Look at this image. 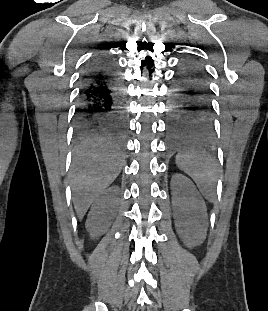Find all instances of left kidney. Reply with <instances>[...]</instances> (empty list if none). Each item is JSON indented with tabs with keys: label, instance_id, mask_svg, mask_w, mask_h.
I'll use <instances>...</instances> for the list:
<instances>
[{
	"label": "left kidney",
	"instance_id": "obj_1",
	"mask_svg": "<svg viewBox=\"0 0 268 311\" xmlns=\"http://www.w3.org/2000/svg\"><path fill=\"white\" fill-rule=\"evenodd\" d=\"M175 227L184 244L200 245L207 230L206 206L194 184L185 176L175 174L171 179Z\"/></svg>",
	"mask_w": 268,
	"mask_h": 311
}]
</instances>
